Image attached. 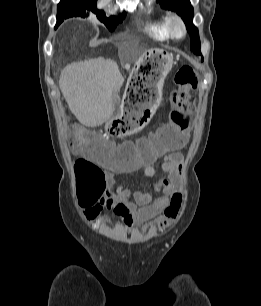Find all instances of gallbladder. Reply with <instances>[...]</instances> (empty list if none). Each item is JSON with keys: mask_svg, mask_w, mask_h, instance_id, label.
<instances>
[{"mask_svg": "<svg viewBox=\"0 0 261 306\" xmlns=\"http://www.w3.org/2000/svg\"><path fill=\"white\" fill-rule=\"evenodd\" d=\"M114 100H115V102L117 103V102L119 101V96H118V95H115V96H114Z\"/></svg>", "mask_w": 261, "mask_h": 306, "instance_id": "bac80fb5", "label": "gallbladder"}]
</instances>
